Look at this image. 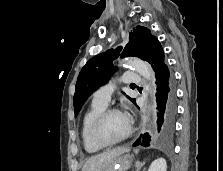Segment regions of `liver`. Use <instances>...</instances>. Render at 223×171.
I'll list each match as a JSON object with an SVG mask.
<instances>
[{
	"mask_svg": "<svg viewBox=\"0 0 223 171\" xmlns=\"http://www.w3.org/2000/svg\"><path fill=\"white\" fill-rule=\"evenodd\" d=\"M126 147H118L112 150L90 157L82 167V171H103L122 153L127 152Z\"/></svg>",
	"mask_w": 223,
	"mask_h": 171,
	"instance_id": "6515ba94",
	"label": "liver"
}]
</instances>
